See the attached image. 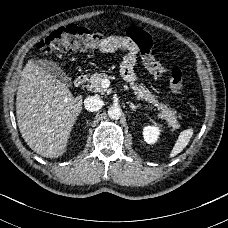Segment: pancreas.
<instances>
[{
	"mask_svg": "<svg viewBox=\"0 0 228 228\" xmlns=\"http://www.w3.org/2000/svg\"><path fill=\"white\" fill-rule=\"evenodd\" d=\"M107 78H109V76L105 73L92 74L90 76V85H88V89L95 93H103L104 88L102 87L101 83L102 80ZM130 87L133 89L134 94L137 95L139 99L145 100L161 110L159 116L168 122V126L172 127V130L178 129L180 127V124L177 121L176 111L165 104L159 103L157 96L153 95L142 83H132L130 84Z\"/></svg>",
	"mask_w": 228,
	"mask_h": 228,
	"instance_id": "1",
	"label": "pancreas"
}]
</instances>
